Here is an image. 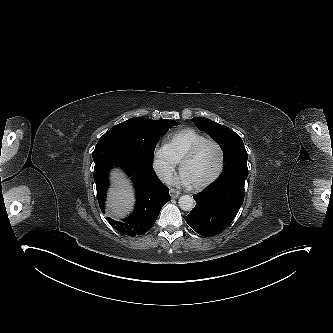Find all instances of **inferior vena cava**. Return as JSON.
I'll return each instance as SVG.
<instances>
[{
  "label": "inferior vena cava",
  "mask_w": 333,
  "mask_h": 333,
  "mask_svg": "<svg viewBox=\"0 0 333 333\" xmlns=\"http://www.w3.org/2000/svg\"><path fill=\"white\" fill-rule=\"evenodd\" d=\"M157 175H158V177L160 178V180L162 182H164L167 185H170L172 175H171V172L169 170H159L157 172Z\"/></svg>",
  "instance_id": "1"
}]
</instances>
